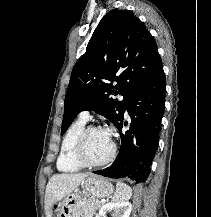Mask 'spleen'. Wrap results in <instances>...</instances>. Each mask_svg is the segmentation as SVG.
Listing matches in <instances>:
<instances>
[{
    "instance_id": "3e777b00",
    "label": "spleen",
    "mask_w": 211,
    "mask_h": 217,
    "mask_svg": "<svg viewBox=\"0 0 211 217\" xmlns=\"http://www.w3.org/2000/svg\"><path fill=\"white\" fill-rule=\"evenodd\" d=\"M132 196V189L123 182L116 183V192L114 194L113 200L115 201H127Z\"/></svg>"
}]
</instances>
